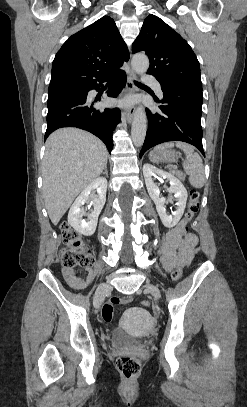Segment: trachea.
<instances>
[{
  "label": "trachea",
  "instance_id": "3493384b",
  "mask_svg": "<svg viewBox=\"0 0 247 407\" xmlns=\"http://www.w3.org/2000/svg\"><path fill=\"white\" fill-rule=\"evenodd\" d=\"M135 84H137V85H143V84H141V83H137V82H135Z\"/></svg>",
  "mask_w": 247,
  "mask_h": 407
}]
</instances>
